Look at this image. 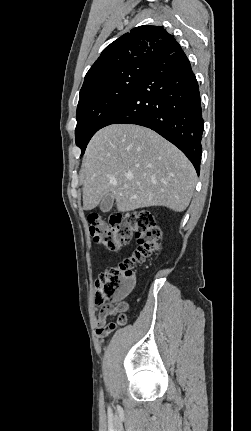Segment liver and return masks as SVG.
Segmentation results:
<instances>
[{"instance_id":"1","label":"liver","mask_w":251,"mask_h":431,"mask_svg":"<svg viewBox=\"0 0 251 431\" xmlns=\"http://www.w3.org/2000/svg\"><path fill=\"white\" fill-rule=\"evenodd\" d=\"M80 175L85 210L110 195L119 212L150 206L182 212L197 180L193 165L179 149L151 129L133 124L100 129L87 146Z\"/></svg>"}]
</instances>
